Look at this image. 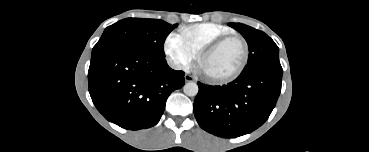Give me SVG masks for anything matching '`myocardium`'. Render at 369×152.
Segmentation results:
<instances>
[{"instance_id":"1","label":"myocardium","mask_w":369,"mask_h":152,"mask_svg":"<svg viewBox=\"0 0 369 152\" xmlns=\"http://www.w3.org/2000/svg\"><path fill=\"white\" fill-rule=\"evenodd\" d=\"M232 40H237L241 43L242 47H243V59L241 64L239 65V67L232 73L226 75V76H221V77H213V76H209L206 75L204 73V76L206 77V79L214 84H224V83H228L231 82L233 80H235L236 78H238L242 72L244 71V69L246 68L248 61H249V46L246 42V40L239 36V35H235V34H230V35H226V36H222L216 40H214L213 42H211L210 44H208L207 46H205L199 53V64H201L202 60L209 54H211L212 52L216 51L217 49H219L222 45H224L225 43L232 41Z\"/></svg>"}]
</instances>
